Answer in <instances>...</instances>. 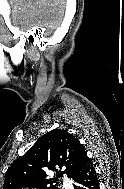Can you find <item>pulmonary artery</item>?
<instances>
[{
	"label": "pulmonary artery",
	"instance_id": "e3ab8cb5",
	"mask_svg": "<svg viewBox=\"0 0 124 189\" xmlns=\"http://www.w3.org/2000/svg\"><path fill=\"white\" fill-rule=\"evenodd\" d=\"M64 186L68 189L71 187V182L66 177L64 178Z\"/></svg>",
	"mask_w": 124,
	"mask_h": 189
}]
</instances>
